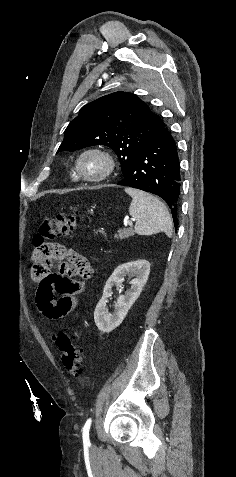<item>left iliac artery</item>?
Returning <instances> with one entry per match:
<instances>
[{"instance_id":"obj_1","label":"left iliac artery","mask_w":236,"mask_h":477,"mask_svg":"<svg viewBox=\"0 0 236 477\" xmlns=\"http://www.w3.org/2000/svg\"><path fill=\"white\" fill-rule=\"evenodd\" d=\"M91 418H89L84 427H83V433H82V437H83V443L84 444H90V440H89V430H90V426H91Z\"/></svg>"}]
</instances>
